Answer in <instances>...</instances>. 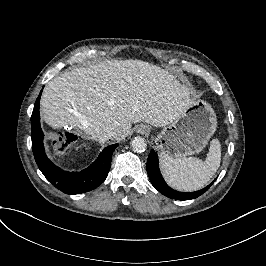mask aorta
<instances>
[{"label": "aorta", "mask_w": 266, "mask_h": 266, "mask_svg": "<svg viewBox=\"0 0 266 266\" xmlns=\"http://www.w3.org/2000/svg\"><path fill=\"white\" fill-rule=\"evenodd\" d=\"M132 149L137 153H142L147 148V143L145 138L142 137H134L131 141Z\"/></svg>", "instance_id": "1"}]
</instances>
